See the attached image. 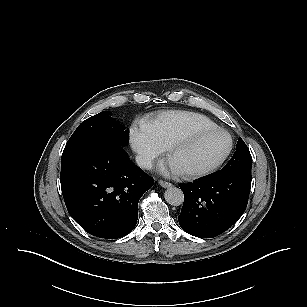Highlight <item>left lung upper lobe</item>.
<instances>
[{"instance_id":"5c2ea615","label":"left lung upper lobe","mask_w":307,"mask_h":307,"mask_svg":"<svg viewBox=\"0 0 307 307\" xmlns=\"http://www.w3.org/2000/svg\"><path fill=\"white\" fill-rule=\"evenodd\" d=\"M252 157L244 141L239 138L236 151L230 161L214 175L229 173H251Z\"/></svg>"}]
</instances>
